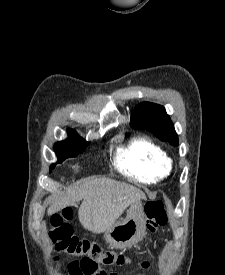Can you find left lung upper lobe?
Here are the masks:
<instances>
[{
    "mask_svg": "<svg viewBox=\"0 0 225 275\" xmlns=\"http://www.w3.org/2000/svg\"><path fill=\"white\" fill-rule=\"evenodd\" d=\"M130 125L136 129H146L160 140L178 145L174 125L161 105L150 102L139 104L132 113Z\"/></svg>",
    "mask_w": 225,
    "mask_h": 275,
    "instance_id": "left-lung-upper-lobe-1",
    "label": "left lung upper lobe"
}]
</instances>
